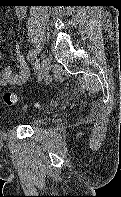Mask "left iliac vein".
I'll return each mask as SVG.
<instances>
[{"mask_svg":"<svg viewBox=\"0 0 121 197\" xmlns=\"http://www.w3.org/2000/svg\"><path fill=\"white\" fill-rule=\"evenodd\" d=\"M51 66V60L49 58H44L39 67L37 68V80L42 81L49 73Z\"/></svg>","mask_w":121,"mask_h":197,"instance_id":"left-iliac-vein-1","label":"left iliac vein"}]
</instances>
